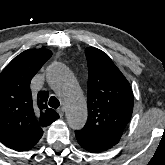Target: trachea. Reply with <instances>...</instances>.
<instances>
[{"label": "trachea", "instance_id": "trachea-1", "mask_svg": "<svg viewBox=\"0 0 165 165\" xmlns=\"http://www.w3.org/2000/svg\"><path fill=\"white\" fill-rule=\"evenodd\" d=\"M60 105L59 100L55 96H51L49 99V106L52 108H58Z\"/></svg>", "mask_w": 165, "mask_h": 165}]
</instances>
